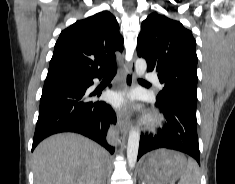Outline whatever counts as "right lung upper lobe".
Segmentation results:
<instances>
[{
    "label": "right lung upper lobe",
    "mask_w": 235,
    "mask_h": 184,
    "mask_svg": "<svg viewBox=\"0 0 235 184\" xmlns=\"http://www.w3.org/2000/svg\"><path fill=\"white\" fill-rule=\"evenodd\" d=\"M115 17L103 11L63 30L55 44L48 75H103L123 50Z\"/></svg>",
    "instance_id": "obj_1"
}]
</instances>
